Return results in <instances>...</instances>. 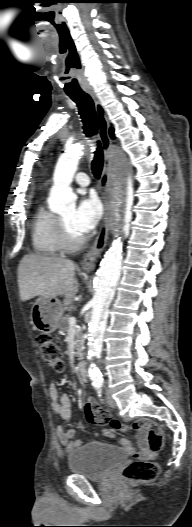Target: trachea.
<instances>
[{"label": "trachea", "instance_id": "obj_1", "mask_svg": "<svg viewBox=\"0 0 192 527\" xmlns=\"http://www.w3.org/2000/svg\"><path fill=\"white\" fill-rule=\"evenodd\" d=\"M69 97L77 104L79 114L84 124V133L87 137H92L97 134L98 121L92 98L87 93L69 94ZM103 150L99 141H97V148L94 152V159L92 161V171L94 176L99 179L103 167Z\"/></svg>", "mask_w": 192, "mask_h": 527}]
</instances>
